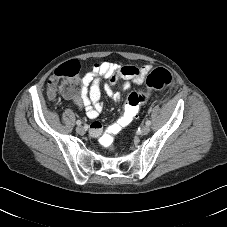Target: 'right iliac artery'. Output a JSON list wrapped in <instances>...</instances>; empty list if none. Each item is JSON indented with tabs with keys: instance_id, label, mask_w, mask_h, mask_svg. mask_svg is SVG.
Here are the masks:
<instances>
[{
	"instance_id": "right-iliac-artery-1",
	"label": "right iliac artery",
	"mask_w": 227,
	"mask_h": 227,
	"mask_svg": "<svg viewBox=\"0 0 227 227\" xmlns=\"http://www.w3.org/2000/svg\"><path fill=\"white\" fill-rule=\"evenodd\" d=\"M81 123H82V122H81L80 120H77V121H76V124H77V125H81Z\"/></svg>"
}]
</instances>
